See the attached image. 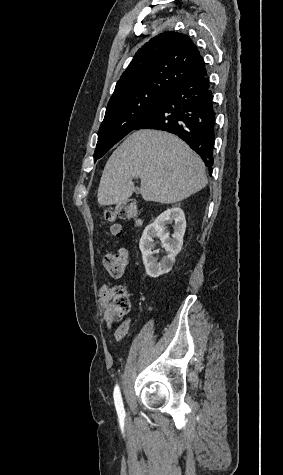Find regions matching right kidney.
<instances>
[{"label": "right kidney", "instance_id": "right-kidney-1", "mask_svg": "<svg viewBox=\"0 0 283 475\" xmlns=\"http://www.w3.org/2000/svg\"><path fill=\"white\" fill-rule=\"evenodd\" d=\"M173 222L174 234H172V238H170L169 232H165V226L166 224H173ZM185 230V214L179 206H173L170 210H165V212H162V214L156 218L153 224L146 226L140 238L139 247L147 275H150V277H159L162 273H168V271L172 269L175 257L183 245ZM156 236L161 239L162 245L167 253L160 261H158L157 257H154V251H152L155 247L153 238H156Z\"/></svg>", "mask_w": 283, "mask_h": 475}]
</instances>
